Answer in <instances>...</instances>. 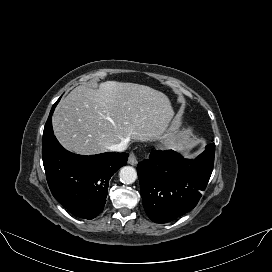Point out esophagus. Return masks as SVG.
I'll return each mask as SVG.
<instances>
[{
	"instance_id": "1",
	"label": "esophagus",
	"mask_w": 272,
	"mask_h": 272,
	"mask_svg": "<svg viewBox=\"0 0 272 272\" xmlns=\"http://www.w3.org/2000/svg\"><path fill=\"white\" fill-rule=\"evenodd\" d=\"M137 162H138L137 156H136L134 153H131V154L129 155L128 163H129L130 165H136Z\"/></svg>"
}]
</instances>
